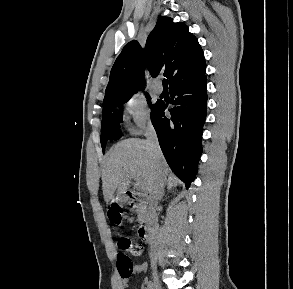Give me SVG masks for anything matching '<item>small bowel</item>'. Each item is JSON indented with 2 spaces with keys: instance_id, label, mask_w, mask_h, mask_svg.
<instances>
[{
  "instance_id": "1",
  "label": "small bowel",
  "mask_w": 293,
  "mask_h": 289,
  "mask_svg": "<svg viewBox=\"0 0 293 289\" xmlns=\"http://www.w3.org/2000/svg\"><path fill=\"white\" fill-rule=\"evenodd\" d=\"M147 269L146 263H140L135 266V271L137 273H144ZM127 287V282H123V288Z\"/></svg>"
}]
</instances>
